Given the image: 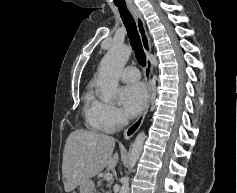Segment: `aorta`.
I'll use <instances>...</instances> for the list:
<instances>
[{
	"label": "aorta",
	"instance_id": "obj_1",
	"mask_svg": "<svg viewBox=\"0 0 237 193\" xmlns=\"http://www.w3.org/2000/svg\"><path fill=\"white\" fill-rule=\"evenodd\" d=\"M130 55L131 48L129 46L116 43L101 60L98 69L97 85L100 88L104 101H110L117 96L119 73L125 66ZM145 138V133L141 132L136 136L132 144L128 174L133 171V168L141 155ZM128 174L122 178V186L119 193H129L130 191Z\"/></svg>",
	"mask_w": 237,
	"mask_h": 193
}]
</instances>
